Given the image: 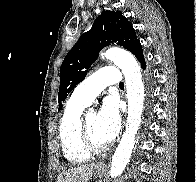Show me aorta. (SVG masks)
Wrapping results in <instances>:
<instances>
[{"instance_id":"762f6f07","label":"aorta","mask_w":196,"mask_h":182,"mask_svg":"<svg viewBox=\"0 0 196 182\" xmlns=\"http://www.w3.org/2000/svg\"><path fill=\"white\" fill-rule=\"evenodd\" d=\"M102 55L112 60L122 70L127 88L128 116L126 129L115 150L110 169V176L116 178L124 171L135 145V136L141 124L143 111L144 85L140 67L129 52L111 48Z\"/></svg>"}]
</instances>
